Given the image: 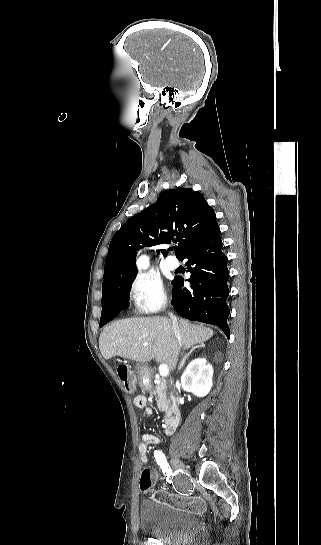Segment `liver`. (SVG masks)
I'll return each mask as SVG.
<instances>
[{"instance_id":"1","label":"liver","mask_w":321,"mask_h":545,"mask_svg":"<svg viewBox=\"0 0 321 545\" xmlns=\"http://www.w3.org/2000/svg\"><path fill=\"white\" fill-rule=\"evenodd\" d=\"M176 331L180 333L181 343L175 335L171 319H121L104 327L99 337V349L104 359L123 357L137 363H148L155 359L158 363H166L174 371L181 347L190 349L197 343H205L214 335L212 329L191 325L184 319H179ZM144 343L148 345L144 347Z\"/></svg>"}]
</instances>
